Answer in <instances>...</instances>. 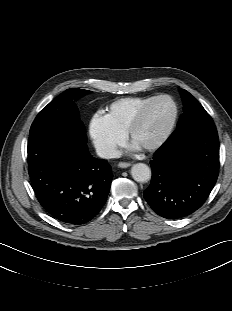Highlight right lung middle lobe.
<instances>
[{
	"instance_id": "1",
	"label": "right lung middle lobe",
	"mask_w": 232,
	"mask_h": 311,
	"mask_svg": "<svg viewBox=\"0 0 232 311\" xmlns=\"http://www.w3.org/2000/svg\"><path fill=\"white\" fill-rule=\"evenodd\" d=\"M90 93L88 90L70 88L51 101L35 118L29 136L57 128L71 129L86 139L85 126L79 119L77 98Z\"/></svg>"
}]
</instances>
